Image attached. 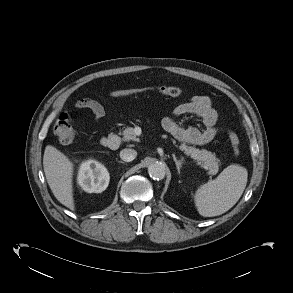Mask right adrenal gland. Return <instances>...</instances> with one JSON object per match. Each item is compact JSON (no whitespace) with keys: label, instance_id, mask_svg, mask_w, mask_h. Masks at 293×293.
Segmentation results:
<instances>
[{"label":"right adrenal gland","instance_id":"obj_1","mask_svg":"<svg viewBox=\"0 0 293 293\" xmlns=\"http://www.w3.org/2000/svg\"><path fill=\"white\" fill-rule=\"evenodd\" d=\"M118 162H119V163H122V164L124 163V162H122V161H118Z\"/></svg>","mask_w":293,"mask_h":293}]
</instances>
